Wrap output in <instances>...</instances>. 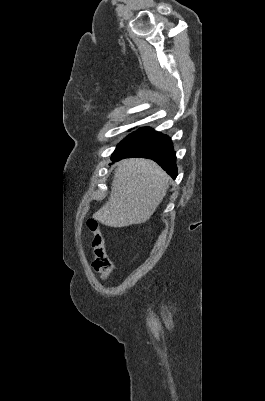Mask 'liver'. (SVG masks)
<instances>
[{
    "instance_id": "liver-1",
    "label": "liver",
    "mask_w": 265,
    "mask_h": 401,
    "mask_svg": "<svg viewBox=\"0 0 265 401\" xmlns=\"http://www.w3.org/2000/svg\"><path fill=\"white\" fill-rule=\"evenodd\" d=\"M168 174L148 158L116 162L110 196L93 219L107 227H129L148 221L162 203Z\"/></svg>"
}]
</instances>
